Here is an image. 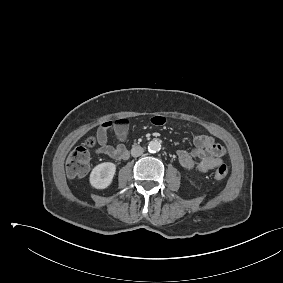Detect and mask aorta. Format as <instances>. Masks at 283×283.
<instances>
[{"mask_svg":"<svg viewBox=\"0 0 283 283\" xmlns=\"http://www.w3.org/2000/svg\"><path fill=\"white\" fill-rule=\"evenodd\" d=\"M160 149H161V144L157 140H153V141L149 142V144H148V151L149 152L156 153V152L160 151Z\"/></svg>","mask_w":283,"mask_h":283,"instance_id":"762f6f07","label":"aorta"}]
</instances>
